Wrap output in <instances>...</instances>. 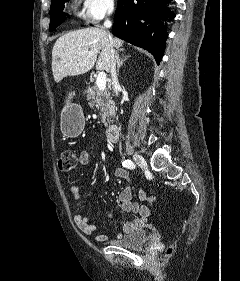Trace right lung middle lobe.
I'll list each match as a JSON object with an SVG mask.
<instances>
[{"mask_svg":"<svg viewBox=\"0 0 240 281\" xmlns=\"http://www.w3.org/2000/svg\"><path fill=\"white\" fill-rule=\"evenodd\" d=\"M69 0H51L50 7V26L49 31L52 32L56 29L58 25H60L65 19V15L62 12L64 9V3Z\"/></svg>","mask_w":240,"mask_h":281,"instance_id":"1","label":"right lung middle lobe"}]
</instances>
